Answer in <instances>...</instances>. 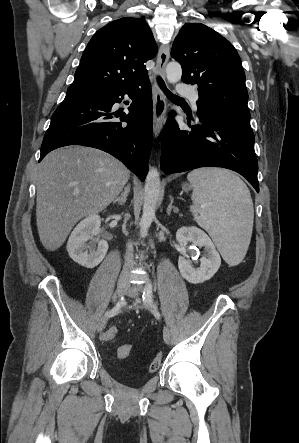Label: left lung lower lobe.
Listing matches in <instances>:
<instances>
[{"label":"left lung lower lobe","mask_w":299,"mask_h":443,"mask_svg":"<svg viewBox=\"0 0 299 443\" xmlns=\"http://www.w3.org/2000/svg\"><path fill=\"white\" fill-rule=\"evenodd\" d=\"M174 115L170 113L162 136L161 169L166 174L206 166L223 167L244 176L259 192L250 120L200 114L199 122L188 117L190 130H183Z\"/></svg>","instance_id":"1"}]
</instances>
